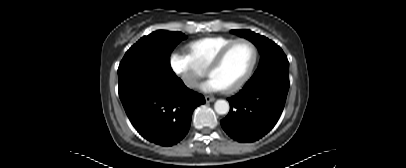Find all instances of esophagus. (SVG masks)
<instances>
[{
  "label": "esophagus",
  "instance_id": "34e87169",
  "mask_svg": "<svg viewBox=\"0 0 406 168\" xmlns=\"http://www.w3.org/2000/svg\"><path fill=\"white\" fill-rule=\"evenodd\" d=\"M205 100H206V102H213V101H215V97H213V96H205Z\"/></svg>",
  "mask_w": 406,
  "mask_h": 168
}]
</instances>
